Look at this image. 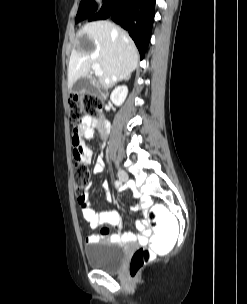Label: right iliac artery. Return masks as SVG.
Returning <instances> with one entry per match:
<instances>
[{"label": "right iliac artery", "instance_id": "82829eb1", "mask_svg": "<svg viewBox=\"0 0 247 304\" xmlns=\"http://www.w3.org/2000/svg\"><path fill=\"white\" fill-rule=\"evenodd\" d=\"M115 186H116V188H118V186H120V182L119 181H115Z\"/></svg>", "mask_w": 247, "mask_h": 304}]
</instances>
